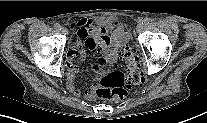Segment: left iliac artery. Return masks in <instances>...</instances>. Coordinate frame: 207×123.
Returning <instances> with one entry per match:
<instances>
[{
    "label": "left iliac artery",
    "mask_w": 207,
    "mask_h": 123,
    "mask_svg": "<svg viewBox=\"0 0 207 123\" xmlns=\"http://www.w3.org/2000/svg\"><path fill=\"white\" fill-rule=\"evenodd\" d=\"M151 22L150 18H145L144 21L142 22L144 25H148Z\"/></svg>",
    "instance_id": "obj_1"
}]
</instances>
